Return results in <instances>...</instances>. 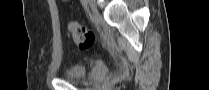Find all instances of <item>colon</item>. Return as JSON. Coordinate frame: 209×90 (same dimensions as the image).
<instances>
[{
	"instance_id": "obj_1",
	"label": "colon",
	"mask_w": 209,
	"mask_h": 90,
	"mask_svg": "<svg viewBox=\"0 0 209 90\" xmlns=\"http://www.w3.org/2000/svg\"><path fill=\"white\" fill-rule=\"evenodd\" d=\"M69 31L72 41L80 49H89L93 46L95 42V34L86 26L72 22L69 25Z\"/></svg>"
}]
</instances>
